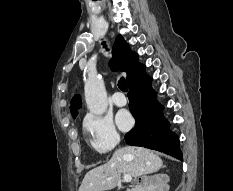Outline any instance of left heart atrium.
I'll return each instance as SVG.
<instances>
[{
	"label": "left heart atrium",
	"mask_w": 233,
	"mask_h": 191,
	"mask_svg": "<svg viewBox=\"0 0 233 191\" xmlns=\"http://www.w3.org/2000/svg\"><path fill=\"white\" fill-rule=\"evenodd\" d=\"M116 121L121 130H128L133 124L132 116L125 110H122L117 114Z\"/></svg>",
	"instance_id": "39dd6f15"
}]
</instances>
